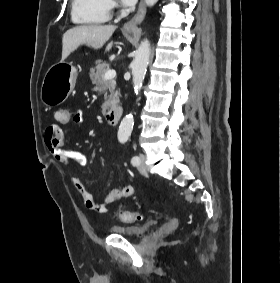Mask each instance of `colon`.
Here are the masks:
<instances>
[{"instance_id":"1","label":"colon","mask_w":280,"mask_h":283,"mask_svg":"<svg viewBox=\"0 0 280 283\" xmlns=\"http://www.w3.org/2000/svg\"><path fill=\"white\" fill-rule=\"evenodd\" d=\"M55 119L57 125H70V119H73V114H70L69 108H56ZM118 218L126 223H132L140 219V213L138 211H120Z\"/></svg>"}]
</instances>
